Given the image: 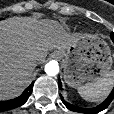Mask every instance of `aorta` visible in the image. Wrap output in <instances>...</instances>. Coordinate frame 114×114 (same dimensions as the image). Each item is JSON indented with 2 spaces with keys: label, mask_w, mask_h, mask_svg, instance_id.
Masks as SVG:
<instances>
[{
  "label": "aorta",
  "mask_w": 114,
  "mask_h": 114,
  "mask_svg": "<svg viewBox=\"0 0 114 114\" xmlns=\"http://www.w3.org/2000/svg\"><path fill=\"white\" fill-rule=\"evenodd\" d=\"M45 72L50 76H56L59 73V65L56 61H50L45 65Z\"/></svg>",
  "instance_id": "1"
}]
</instances>
